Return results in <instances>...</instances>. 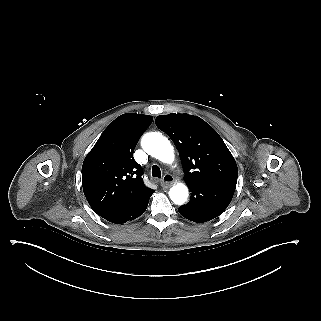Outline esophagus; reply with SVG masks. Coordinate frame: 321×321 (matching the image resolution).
<instances>
[{
  "instance_id": "obj_1",
  "label": "esophagus",
  "mask_w": 321,
  "mask_h": 321,
  "mask_svg": "<svg viewBox=\"0 0 321 321\" xmlns=\"http://www.w3.org/2000/svg\"><path fill=\"white\" fill-rule=\"evenodd\" d=\"M173 176L170 175V174H165L163 176V179L161 181V187L164 188V189H167V188H170L173 184Z\"/></svg>"
}]
</instances>
